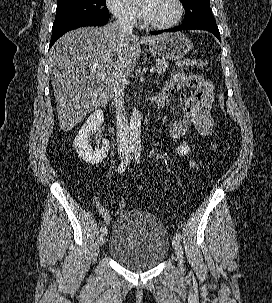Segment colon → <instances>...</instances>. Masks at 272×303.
Returning <instances> with one entry per match:
<instances>
[{
    "mask_svg": "<svg viewBox=\"0 0 272 303\" xmlns=\"http://www.w3.org/2000/svg\"><path fill=\"white\" fill-rule=\"evenodd\" d=\"M206 65V62L202 59L197 58H191V57H184L175 62V67L178 70H183L187 68H196V67H204ZM218 106L220 110L224 109V96L223 94L218 95ZM125 204L121 200L119 202V208L124 209Z\"/></svg>",
    "mask_w": 272,
    "mask_h": 303,
    "instance_id": "colon-1",
    "label": "colon"
}]
</instances>
